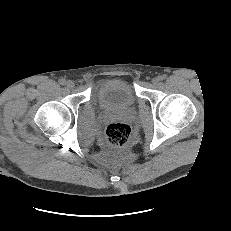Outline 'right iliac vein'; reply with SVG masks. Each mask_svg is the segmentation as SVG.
I'll use <instances>...</instances> for the list:
<instances>
[{
    "label": "right iliac vein",
    "instance_id": "right-iliac-vein-1",
    "mask_svg": "<svg viewBox=\"0 0 231 231\" xmlns=\"http://www.w3.org/2000/svg\"><path fill=\"white\" fill-rule=\"evenodd\" d=\"M74 82L73 81H71V80H69V81H67V83H66V86L69 88V89H72L73 87H74Z\"/></svg>",
    "mask_w": 231,
    "mask_h": 231
}]
</instances>
